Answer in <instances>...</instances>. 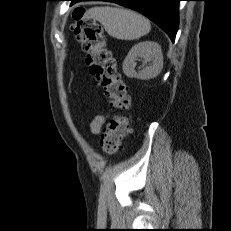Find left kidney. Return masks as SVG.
<instances>
[{"label":"left kidney","mask_w":231,"mask_h":231,"mask_svg":"<svg viewBox=\"0 0 231 231\" xmlns=\"http://www.w3.org/2000/svg\"><path fill=\"white\" fill-rule=\"evenodd\" d=\"M142 57L148 65L138 73L134 69L135 61ZM123 72L129 78L148 80L156 77L163 68L161 47L153 41H143L134 45L123 61Z\"/></svg>","instance_id":"1"}]
</instances>
